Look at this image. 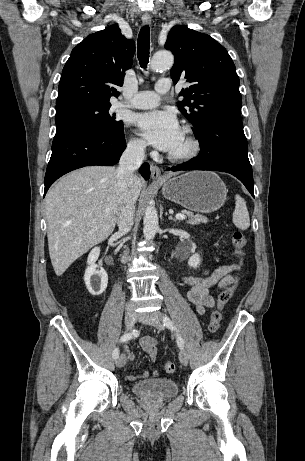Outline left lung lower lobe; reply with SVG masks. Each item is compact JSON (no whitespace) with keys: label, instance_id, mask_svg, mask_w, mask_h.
Instances as JSON below:
<instances>
[{"label":"left lung lower lobe","instance_id":"1","mask_svg":"<svg viewBox=\"0 0 305 461\" xmlns=\"http://www.w3.org/2000/svg\"><path fill=\"white\" fill-rule=\"evenodd\" d=\"M194 135L200 143V153L171 170L227 172L237 177L254 197L252 167L247 155L248 145L241 115L228 114L210 119Z\"/></svg>","mask_w":305,"mask_h":461}]
</instances>
